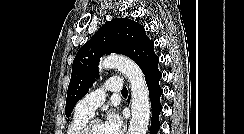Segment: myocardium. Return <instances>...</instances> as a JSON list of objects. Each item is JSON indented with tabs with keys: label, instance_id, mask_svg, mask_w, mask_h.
Here are the masks:
<instances>
[{
	"label": "myocardium",
	"instance_id": "obj_1",
	"mask_svg": "<svg viewBox=\"0 0 244 134\" xmlns=\"http://www.w3.org/2000/svg\"><path fill=\"white\" fill-rule=\"evenodd\" d=\"M97 124H102L100 120L98 119H91L89 120L84 127L82 128L80 134H91L92 130L94 128L95 125Z\"/></svg>",
	"mask_w": 244,
	"mask_h": 134
}]
</instances>
